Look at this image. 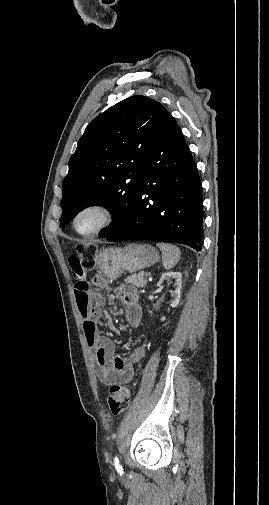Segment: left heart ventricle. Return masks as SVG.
<instances>
[{
  "instance_id": "left-heart-ventricle-1",
  "label": "left heart ventricle",
  "mask_w": 269,
  "mask_h": 505,
  "mask_svg": "<svg viewBox=\"0 0 269 505\" xmlns=\"http://www.w3.org/2000/svg\"><path fill=\"white\" fill-rule=\"evenodd\" d=\"M104 215L99 210H88L77 219L76 226L81 232H89L95 229L103 221Z\"/></svg>"
}]
</instances>
